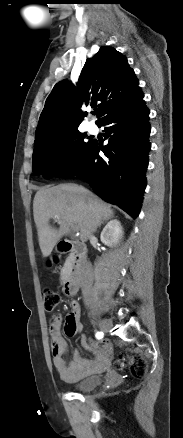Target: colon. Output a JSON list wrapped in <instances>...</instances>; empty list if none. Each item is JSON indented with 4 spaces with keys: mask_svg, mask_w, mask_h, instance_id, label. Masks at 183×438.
Listing matches in <instances>:
<instances>
[{
    "mask_svg": "<svg viewBox=\"0 0 183 438\" xmlns=\"http://www.w3.org/2000/svg\"><path fill=\"white\" fill-rule=\"evenodd\" d=\"M43 303L44 308L47 311H52L56 308V306L59 303V296L58 294L50 289L46 288L43 291ZM75 327L73 325H66L65 326V332L67 335H74L75 334ZM127 364H129L130 370L132 374L136 377H142L146 371V363L141 358H134L130 361H128L125 357H120L116 361V366L120 369L124 368Z\"/></svg>",
    "mask_w": 183,
    "mask_h": 438,
    "instance_id": "obj_1",
    "label": "colon"
}]
</instances>
